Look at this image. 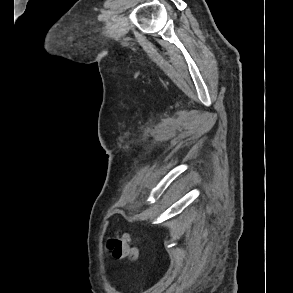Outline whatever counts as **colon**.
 <instances>
[{"mask_svg":"<svg viewBox=\"0 0 293 293\" xmlns=\"http://www.w3.org/2000/svg\"><path fill=\"white\" fill-rule=\"evenodd\" d=\"M107 247L115 258L136 259L138 252L135 247L131 246L126 238H111L107 242Z\"/></svg>","mask_w":293,"mask_h":293,"instance_id":"obj_1","label":"colon"}]
</instances>
